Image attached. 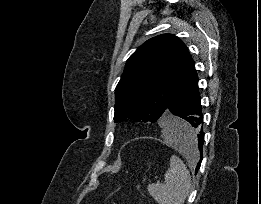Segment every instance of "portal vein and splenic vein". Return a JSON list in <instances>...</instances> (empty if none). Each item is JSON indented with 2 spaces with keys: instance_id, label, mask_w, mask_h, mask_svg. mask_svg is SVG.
<instances>
[{
  "instance_id": "portal-vein-and-splenic-vein-1",
  "label": "portal vein and splenic vein",
  "mask_w": 261,
  "mask_h": 204,
  "mask_svg": "<svg viewBox=\"0 0 261 204\" xmlns=\"http://www.w3.org/2000/svg\"><path fill=\"white\" fill-rule=\"evenodd\" d=\"M157 184H160V181H156Z\"/></svg>"
}]
</instances>
